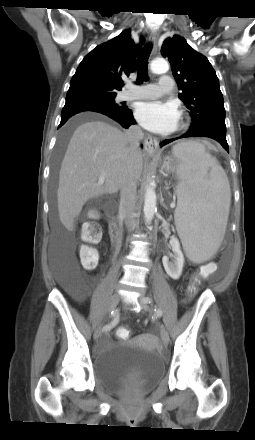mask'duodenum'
<instances>
[{"mask_svg":"<svg viewBox=\"0 0 255 440\" xmlns=\"http://www.w3.org/2000/svg\"><path fill=\"white\" fill-rule=\"evenodd\" d=\"M110 235L112 240L114 241V243L116 245H119L120 241H121V231L116 223L115 220H111L110 221Z\"/></svg>","mask_w":255,"mask_h":440,"instance_id":"410a0bca","label":"duodenum"}]
</instances>
